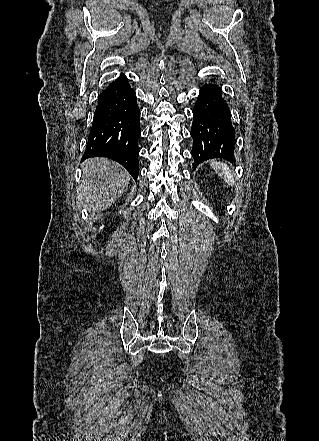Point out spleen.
Here are the masks:
<instances>
[{"instance_id":"obj_1","label":"spleen","mask_w":319,"mask_h":441,"mask_svg":"<svg viewBox=\"0 0 319 441\" xmlns=\"http://www.w3.org/2000/svg\"><path fill=\"white\" fill-rule=\"evenodd\" d=\"M211 166L216 171V173L225 180L226 183L234 185V174L229 169L228 165L224 164L221 161L213 160L211 161Z\"/></svg>"}]
</instances>
